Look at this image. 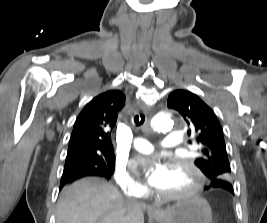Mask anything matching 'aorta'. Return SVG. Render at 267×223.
<instances>
[{
  "instance_id": "762f6f07",
  "label": "aorta",
  "mask_w": 267,
  "mask_h": 223,
  "mask_svg": "<svg viewBox=\"0 0 267 223\" xmlns=\"http://www.w3.org/2000/svg\"><path fill=\"white\" fill-rule=\"evenodd\" d=\"M174 122L169 116L156 118L152 121V126L157 131H170L173 128Z\"/></svg>"
}]
</instances>
